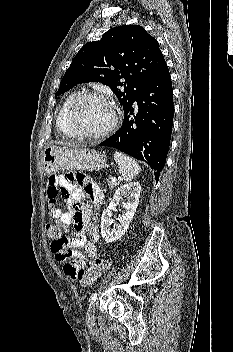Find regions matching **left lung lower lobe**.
<instances>
[{
	"instance_id": "left-lung-lower-lobe-1",
	"label": "left lung lower lobe",
	"mask_w": 233,
	"mask_h": 352,
	"mask_svg": "<svg viewBox=\"0 0 233 352\" xmlns=\"http://www.w3.org/2000/svg\"><path fill=\"white\" fill-rule=\"evenodd\" d=\"M173 112V89L166 66L124 108L123 125L100 145L145 161L156 170L154 175L158 181L169 149Z\"/></svg>"
}]
</instances>
